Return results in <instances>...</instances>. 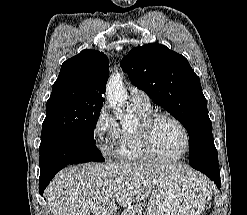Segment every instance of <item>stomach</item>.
<instances>
[{"label":"stomach","instance_id":"obj_1","mask_svg":"<svg viewBox=\"0 0 247 215\" xmlns=\"http://www.w3.org/2000/svg\"><path fill=\"white\" fill-rule=\"evenodd\" d=\"M211 198L208 182L189 169L170 176L152 192L147 215H200Z\"/></svg>","mask_w":247,"mask_h":215}]
</instances>
